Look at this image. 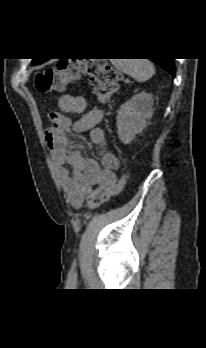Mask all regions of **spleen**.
Wrapping results in <instances>:
<instances>
[{
	"label": "spleen",
	"mask_w": 206,
	"mask_h": 348,
	"mask_svg": "<svg viewBox=\"0 0 206 348\" xmlns=\"http://www.w3.org/2000/svg\"><path fill=\"white\" fill-rule=\"evenodd\" d=\"M111 63L139 82L146 81L155 74V67L148 59H111Z\"/></svg>",
	"instance_id": "1"
}]
</instances>
